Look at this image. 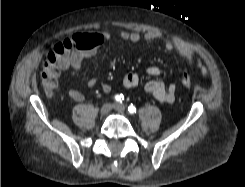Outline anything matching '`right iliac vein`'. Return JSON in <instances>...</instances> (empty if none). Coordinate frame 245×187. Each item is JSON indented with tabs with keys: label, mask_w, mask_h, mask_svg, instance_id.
Masks as SVG:
<instances>
[{
	"label": "right iliac vein",
	"mask_w": 245,
	"mask_h": 187,
	"mask_svg": "<svg viewBox=\"0 0 245 187\" xmlns=\"http://www.w3.org/2000/svg\"><path fill=\"white\" fill-rule=\"evenodd\" d=\"M112 107H113V105L111 103H105L104 105H102V107L100 109V113L102 115H106L111 111Z\"/></svg>",
	"instance_id": "1"
}]
</instances>
